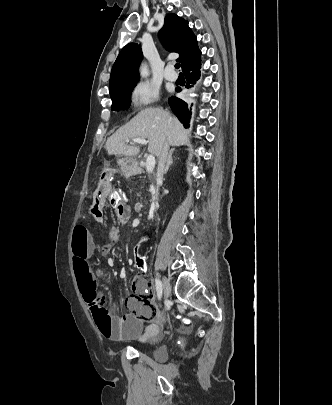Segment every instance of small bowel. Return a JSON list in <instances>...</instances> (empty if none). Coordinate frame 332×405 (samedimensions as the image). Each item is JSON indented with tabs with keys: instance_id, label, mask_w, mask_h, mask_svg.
Returning a JSON list of instances; mask_svg holds the SVG:
<instances>
[{
	"instance_id": "small-bowel-1",
	"label": "small bowel",
	"mask_w": 332,
	"mask_h": 405,
	"mask_svg": "<svg viewBox=\"0 0 332 405\" xmlns=\"http://www.w3.org/2000/svg\"><path fill=\"white\" fill-rule=\"evenodd\" d=\"M122 168L127 172H136L138 164L132 157L121 159ZM112 170L102 169L99 181L96 183L93 202L89 209V216L94 217L98 222L104 219V208L110 203V185L112 181ZM110 205V204H109ZM131 207L129 201L124 203L123 212H115L122 223H126L131 217ZM119 231L113 229L111 238L117 239ZM95 243L88 229L82 225H77L73 230L71 250L73 258V269L76 276V286L81 292L82 302L90 305V319L93 326H97L101 335L109 340L120 342L136 339L139 342L159 343V321L161 314L151 303L149 284L142 276L136 277L131 285L133 294L128 297L127 306L130 313L118 316L114 311H107V302L99 301L101 286L99 277L94 273L90 258L94 252ZM109 245L102 248V253H107ZM114 260L109 261V265H114ZM133 259L127 258L126 265L130 266Z\"/></svg>"
}]
</instances>
